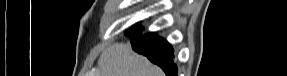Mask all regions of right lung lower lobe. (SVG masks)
<instances>
[{"label": "right lung lower lobe", "instance_id": "obj_1", "mask_svg": "<svg viewBox=\"0 0 287 76\" xmlns=\"http://www.w3.org/2000/svg\"><path fill=\"white\" fill-rule=\"evenodd\" d=\"M133 50L145 55L151 62L159 65L167 76H177V67L173 63V49L163 38L154 33L131 35Z\"/></svg>", "mask_w": 287, "mask_h": 76}]
</instances>
